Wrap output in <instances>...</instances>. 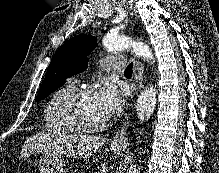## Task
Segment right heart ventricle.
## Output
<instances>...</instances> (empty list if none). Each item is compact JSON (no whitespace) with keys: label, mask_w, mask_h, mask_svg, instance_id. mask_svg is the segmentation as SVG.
Returning a JSON list of instances; mask_svg holds the SVG:
<instances>
[{"label":"right heart ventricle","mask_w":219,"mask_h":173,"mask_svg":"<svg viewBox=\"0 0 219 173\" xmlns=\"http://www.w3.org/2000/svg\"><path fill=\"white\" fill-rule=\"evenodd\" d=\"M75 90V85L72 82H68L51 95L43 114L46 131L59 135L75 133V131L65 122L62 112L64 102Z\"/></svg>","instance_id":"1"}]
</instances>
